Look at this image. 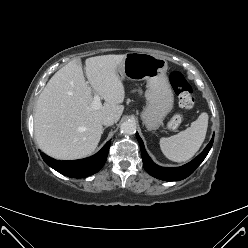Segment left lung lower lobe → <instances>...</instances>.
<instances>
[{"label": "left lung lower lobe", "mask_w": 248, "mask_h": 248, "mask_svg": "<svg viewBox=\"0 0 248 248\" xmlns=\"http://www.w3.org/2000/svg\"><path fill=\"white\" fill-rule=\"evenodd\" d=\"M137 140L139 141L140 148H141V155L143 160V165L146 171L152 175L153 177H156L160 180L165 181H179L182 179H185L190 174L194 172V170L202 163V161L207 156L208 152L210 151L214 135L209 142V144L206 146V148L203 150L202 153H200L195 159H193L191 162L181 166V167H161L156 165L149 155L147 154L144 144L138 133H136Z\"/></svg>", "instance_id": "obj_1"}]
</instances>
